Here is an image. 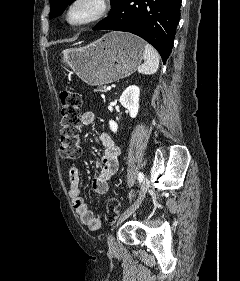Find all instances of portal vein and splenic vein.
<instances>
[{"label": "portal vein and splenic vein", "instance_id": "1", "mask_svg": "<svg viewBox=\"0 0 240 281\" xmlns=\"http://www.w3.org/2000/svg\"><path fill=\"white\" fill-rule=\"evenodd\" d=\"M111 89H112L111 86H107V87H106V90H107V91H109V90H111Z\"/></svg>", "mask_w": 240, "mask_h": 281}]
</instances>
